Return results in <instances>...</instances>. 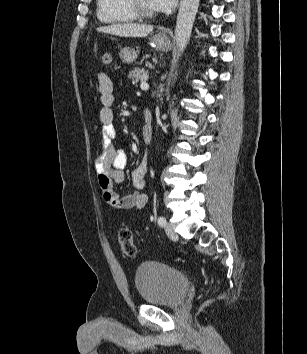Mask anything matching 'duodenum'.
Instances as JSON below:
<instances>
[{"label": "duodenum", "mask_w": 307, "mask_h": 354, "mask_svg": "<svg viewBox=\"0 0 307 354\" xmlns=\"http://www.w3.org/2000/svg\"><path fill=\"white\" fill-rule=\"evenodd\" d=\"M152 119V112L150 109H146L144 111V120L148 124Z\"/></svg>", "instance_id": "1"}]
</instances>
